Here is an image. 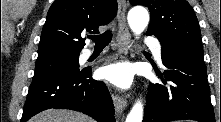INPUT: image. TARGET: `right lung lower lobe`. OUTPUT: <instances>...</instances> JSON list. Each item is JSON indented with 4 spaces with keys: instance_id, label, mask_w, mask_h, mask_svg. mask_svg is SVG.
Returning a JSON list of instances; mask_svg holds the SVG:
<instances>
[{
    "instance_id": "right-lung-lower-lobe-1",
    "label": "right lung lower lobe",
    "mask_w": 221,
    "mask_h": 122,
    "mask_svg": "<svg viewBox=\"0 0 221 122\" xmlns=\"http://www.w3.org/2000/svg\"><path fill=\"white\" fill-rule=\"evenodd\" d=\"M49 108L79 111L98 122H115L111 96L103 82L92 79L90 68L33 79L21 122Z\"/></svg>"
}]
</instances>
